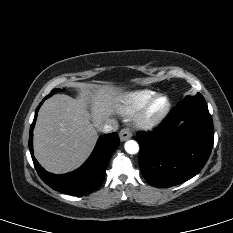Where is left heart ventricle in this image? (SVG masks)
I'll list each match as a JSON object with an SVG mask.
<instances>
[{
  "label": "left heart ventricle",
  "mask_w": 233,
  "mask_h": 233,
  "mask_svg": "<svg viewBox=\"0 0 233 233\" xmlns=\"http://www.w3.org/2000/svg\"><path fill=\"white\" fill-rule=\"evenodd\" d=\"M164 105H165V101L163 99H160L157 102H155V104L151 109V114L152 115L158 114L164 108Z\"/></svg>",
  "instance_id": "left-heart-ventricle-1"
}]
</instances>
